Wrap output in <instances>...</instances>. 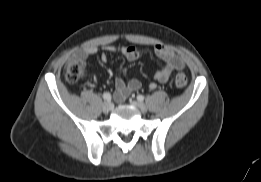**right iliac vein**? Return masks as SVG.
Listing matches in <instances>:
<instances>
[{
  "label": "right iliac vein",
  "mask_w": 261,
  "mask_h": 182,
  "mask_svg": "<svg viewBox=\"0 0 261 182\" xmlns=\"http://www.w3.org/2000/svg\"><path fill=\"white\" fill-rule=\"evenodd\" d=\"M112 108H113V105H112V103H110V102H105V103H103V105H102V110H103L104 112H110V111L112 110Z\"/></svg>",
  "instance_id": "right-iliac-vein-1"
}]
</instances>
